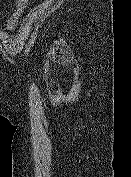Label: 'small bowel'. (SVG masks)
<instances>
[{"instance_id": "obj_1", "label": "small bowel", "mask_w": 131, "mask_h": 177, "mask_svg": "<svg viewBox=\"0 0 131 177\" xmlns=\"http://www.w3.org/2000/svg\"><path fill=\"white\" fill-rule=\"evenodd\" d=\"M29 1L30 0H15L13 2V5L16 6L17 9L7 21L5 25L6 29H12L15 27Z\"/></svg>"}]
</instances>
